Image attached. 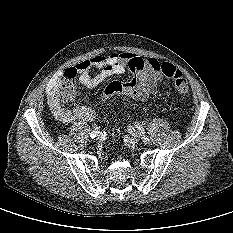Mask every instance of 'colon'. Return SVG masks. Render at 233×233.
I'll list each match as a JSON object with an SVG mask.
<instances>
[{
	"label": "colon",
	"mask_w": 233,
	"mask_h": 233,
	"mask_svg": "<svg viewBox=\"0 0 233 233\" xmlns=\"http://www.w3.org/2000/svg\"><path fill=\"white\" fill-rule=\"evenodd\" d=\"M161 73L174 81L175 88L180 94H186L189 90L188 82L182 73L170 63H162L159 66ZM59 95L61 99H73L75 96L74 76L69 75L61 80L59 84Z\"/></svg>",
	"instance_id": "obj_1"
}]
</instances>
